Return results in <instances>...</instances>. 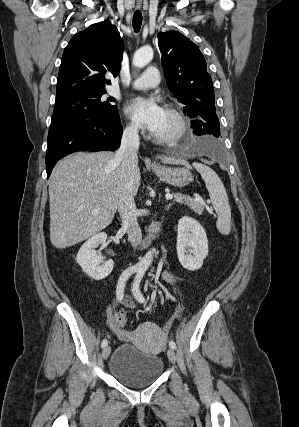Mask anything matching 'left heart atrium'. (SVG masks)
<instances>
[{
	"label": "left heart atrium",
	"mask_w": 299,
	"mask_h": 427,
	"mask_svg": "<svg viewBox=\"0 0 299 427\" xmlns=\"http://www.w3.org/2000/svg\"><path fill=\"white\" fill-rule=\"evenodd\" d=\"M125 112L136 125L151 132L159 127L164 109L155 98L136 97L125 106Z\"/></svg>",
	"instance_id": "left-heart-atrium-1"
}]
</instances>
